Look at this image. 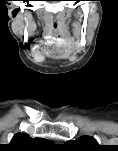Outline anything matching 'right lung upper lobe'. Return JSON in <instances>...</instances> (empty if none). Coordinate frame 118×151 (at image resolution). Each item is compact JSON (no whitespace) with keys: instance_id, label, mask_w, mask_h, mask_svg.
Returning a JSON list of instances; mask_svg holds the SVG:
<instances>
[{"instance_id":"obj_1","label":"right lung upper lobe","mask_w":118,"mask_h":151,"mask_svg":"<svg viewBox=\"0 0 118 151\" xmlns=\"http://www.w3.org/2000/svg\"><path fill=\"white\" fill-rule=\"evenodd\" d=\"M50 141L42 138L32 139L28 134L17 133L14 135L11 143L8 145L9 149L15 151H30L37 149H44L50 147Z\"/></svg>"}]
</instances>
